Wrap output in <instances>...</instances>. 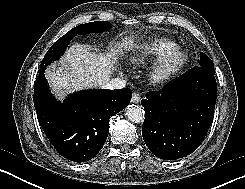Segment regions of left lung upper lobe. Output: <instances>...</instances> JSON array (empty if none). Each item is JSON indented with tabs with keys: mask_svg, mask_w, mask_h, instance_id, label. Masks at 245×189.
Returning a JSON list of instances; mask_svg holds the SVG:
<instances>
[{
	"mask_svg": "<svg viewBox=\"0 0 245 189\" xmlns=\"http://www.w3.org/2000/svg\"><path fill=\"white\" fill-rule=\"evenodd\" d=\"M199 66L208 69L209 71L215 73L213 62L201 52Z\"/></svg>",
	"mask_w": 245,
	"mask_h": 189,
	"instance_id": "obj_1",
	"label": "left lung upper lobe"
}]
</instances>
